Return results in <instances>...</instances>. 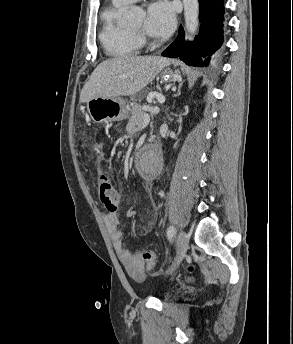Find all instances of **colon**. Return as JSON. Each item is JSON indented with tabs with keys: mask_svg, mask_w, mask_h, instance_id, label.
<instances>
[{
	"mask_svg": "<svg viewBox=\"0 0 293 344\" xmlns=\"http://www.w3.org/2000/svg\"><path fill=\"white\" fill-rule=\"evenodd\" d=\"M97 192L103 205L110 211L115 210L119 203V198L113 185L107 178L97 181ZM141 259L146 269L150 270L155 266V253L151 250L144 249L141 252ZM188 270L193 271V266H189Z\"/></svg>",
	"mask_w": 293,
	"mask_h": 344,
	"instance_id": "obj_1",
	"label": "colon"
}]
</instances>
